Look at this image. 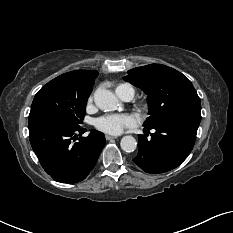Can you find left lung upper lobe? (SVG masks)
<instances>
[{"instance_id": "1", "label": "left lung upper lobe", "mask_w": 233, "mask_h": 233, "mask_svg": "<svg viewBox=\"0 0 233 233\" xmlns=\"http://www.w3.org/2000/svg\"><path fill=\"white\" fill-rule=\"evenodd\" d=\"M148 95L149 117L144 126L162 119L195 118L201 120V103L191 81L177 70L150 64L128 71L124 77Z\"/></svg>"}]
</instances>
